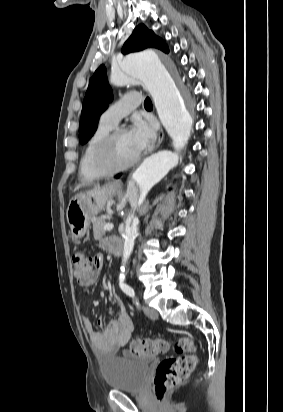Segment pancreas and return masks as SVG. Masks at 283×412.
Segmentation results:
<instances>
[{
	"mask_svg": "<svg viewBox=\"0 0 283 412\" xmlns=\"http://www.w3.org/2000/svg\"><path fill=\"white\" fill-rule=\"evenodd\" d=\"M105 224L106 222L103 218L93 220V233L95 240H100L102 236L105 234V231L103 229Z\"/></svg>",
	"mask_w": 283,
	"mask_h": 412,
	"instance_id": "1",
	"label": "pancreas"
}]
</instances>
